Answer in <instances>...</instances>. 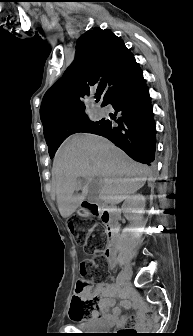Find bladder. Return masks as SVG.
<instances>
[{
	"instance_id": "31cf9c89",
	"label": "bladder",
	"mask_w": 193,
	"mask_h": 336,
	"mask_svg": "<svg viewBox=\"0 0 193 336\" xmlns=\"http://www.w3.org/2000/svg\"><path fill=\"white\" fill-rule=\"evenodd\" d=\"M104 323L101 320H91L85 325V329L89 331H101L104 329Z\"/></svg>"
}]
</instances>
